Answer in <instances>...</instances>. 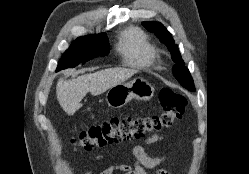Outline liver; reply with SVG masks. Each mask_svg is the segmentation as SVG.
I'll return each mask as SVG.
<instances>
[{
    "instance_id": "liver-1",
    "label": "liver",
    "mask_w": 249,
    "mask_h": 174,
    "mask_svg": "<svg viewBox=\"0 0 249 174\" xmlns=\"http://www.w3.org/2000/svg\"><path fill=\"white\" fill-rule=\"evenodd\" d=\"M136 73L137 70L134 69L117 67L82 75L68 81L59 79L56 86L57 100L68 115H73L81 108V101L88 92L93 96L100 95Z\"/></svg>"
}]
</instances>
